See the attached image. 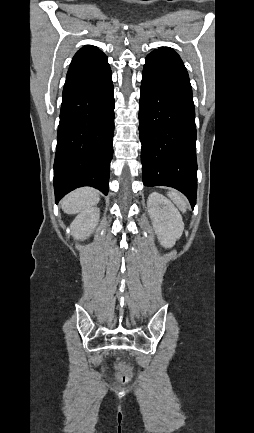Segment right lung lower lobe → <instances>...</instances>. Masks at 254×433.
I'll list each match as a JSON object with an SVG mask.
<instances>
[{
    "mask_svg": "<svg viewBox=\"0 0 254 433\" xmlns=\"http://www.w3.org/2000/svg\"><path fill=\"white\" fill-rule=\"evenodd\" d=\"M113 90L107 58L69 69L54 161L56 203L82 186H92L108 194L113 155Z\"/></svg>",
    "mask_w": 254,
    "mask_h": 433,
    "instance_id": "obj_1",
    "label": "right lung lower lobe"
}]
</instances>
